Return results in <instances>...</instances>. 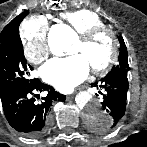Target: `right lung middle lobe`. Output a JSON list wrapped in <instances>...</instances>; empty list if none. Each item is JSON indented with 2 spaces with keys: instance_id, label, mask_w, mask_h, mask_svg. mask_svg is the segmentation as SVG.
I'll use <instances>...</instances> for the list:
<instances>
[{
  "instance_id": "obj_1",
  "label": "right lung middle lobe",
  "mask_w": 147,
  "mask_h": 147,
  "mask_svg": "<svg viewBox=\"0 0 147 147\" xmlns=\"http://www.w3.org/2000/svg\"><path fill=\"white\" fill-rule=\"evenodd\" d=\"M27 15L28 10L15 17L0 34V94L32 81L27 79L28 68L19 35V25Z\"/></svg>"
}]
</instances>
